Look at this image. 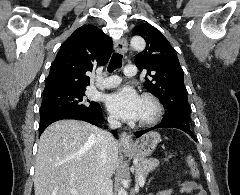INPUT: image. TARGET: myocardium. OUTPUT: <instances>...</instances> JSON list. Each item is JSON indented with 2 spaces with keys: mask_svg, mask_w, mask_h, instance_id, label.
Listing matches in <instances>:
<instances>
[{
  "mask_svg": "<svg viewBox=\"0 0 240 195\" xmlns=\"http://www.w3.org/2000/svg\"><path fill=\"white\" fill-rule=\"evenodd\" d=\"M142 101L150 105L151 113L148 117L139 120L138 123L134 125L136 128H147L154 125L159 120L162 113L161 103L154 95L144 93L142 95Z\"/></svg>",
  "mask_w": 240,
  "mask_h": 195,
  "instance_id": "obj_1",
  "label": "myocardium"
}]
</instances>
